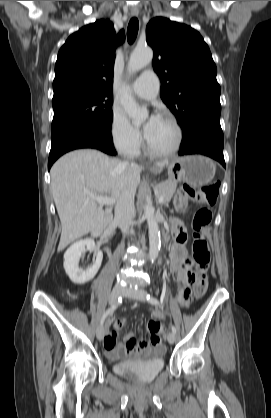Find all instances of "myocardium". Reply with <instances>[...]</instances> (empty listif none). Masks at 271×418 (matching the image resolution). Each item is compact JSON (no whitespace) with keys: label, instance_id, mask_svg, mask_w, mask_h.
Instances as JSON below:
<instances>
[{"label":"myocardium","instance_id":"obj_1","mask_svg":"<svg viewBox=\"0 0 271 418\" xmlns=\"http://www.w3.org/2000/svg\"><path fill=\"white\" fill-rule=\"evenodd\" d=\"M161 118H164V119L168 120L172 124V126L174 127L175 132H176L175 143L170 149L164 150V151H159V150L154 149L150 145V143H149V141L146 137V139H145L146 151L148 152V154H150L152 156H155V157H168V156H171V155L175 154L179 150V148L182 144V141H183V130H182L179 122L172 115L165 113V114L161 115Z\"/></svg>","mask_w":271,"mask_h":418}]
</instances>
